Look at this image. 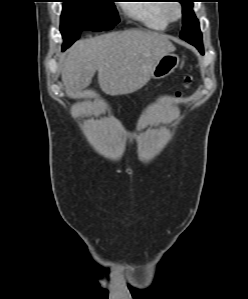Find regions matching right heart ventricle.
Returning <instances> with one entry per match:
<instances>
[{
    "label": "right heart ventricle",
    "instance_id": "obj_1",
    "mask_svg": "<svg viewBox=\"0 0 248 299\" xmlns=\"http://www.w3.org/2000/svg\"><path fill=\"white\" fill-rule=\"evenodd\" d=\"M164 5L160 0H147L126 6V13L149 28L165 30L169 22L163 14Z\"/></svg>",
    "mask_w": 248,
    "mask_h": 299
}]
</instances>
